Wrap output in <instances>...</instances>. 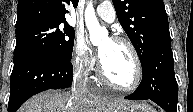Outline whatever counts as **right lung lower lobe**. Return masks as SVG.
Wrapping results in <instances>:
<instances>
[{"label":"right lung lower lobe","instance_id":"98d812e1","mask_svg":"<svg viewBox=\"0 0 193 112\" xmlns=\"http://www.w3.org/2000/svg\"><path fill=\"white\" fill-rule=\"evenodd\" d=\"M72 80L71 60L48 51L26 55L14 61L8 112H16L27 99L39 92L68 88Z\"/></svg>","mask_w":193,"mask_h":112}]
</instances>
